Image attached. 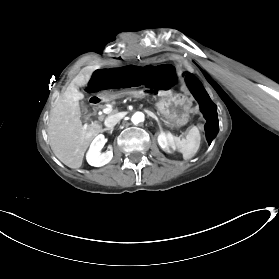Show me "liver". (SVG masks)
Segmentation results:
<instances>
[{
  "label": "liver",
  "mask_w": 279,
  "mask_h": 279,
  "mask_svg": "<svg viewBox=\"0 0 279 279\" xmlns=\"http://www.w3.org/2000/svg\"><path fill=\"white\" fill-rule=\"evenodd\" d=\"M93 68H84L69 84L64 94L50 111L48 139L55 156L66 166L81 167L84 153L102 126L97 122L83 126L79 101L84 94L78 90L88 82Z\"/></svg>",
  "instance_id": "liver-1"
}]
</instances>
